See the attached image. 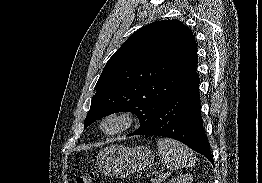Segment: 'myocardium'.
<instances>
[{
    "label": "myocardium",
    "instance_id": "1",
    "mask_svg": "<svg viewBox=\"0 0 262 183\" xmlns=\"http://www.w3.org/2000/svg\"><path fill=\"white\" fill-rule=\"evenodd\" d=\"M110 119H114L119 123L118 126L113 130H107L104 127L106 121ZM138 121L139 119L137 114L132 110H127V109L113 110L104 114L100 118L98 126L101 132L104 133L105 135L115 136L130 130L138 123Z\"/></svg>",
    "mask_w": 262,
    "mask_h": 183
}]
</instances>
